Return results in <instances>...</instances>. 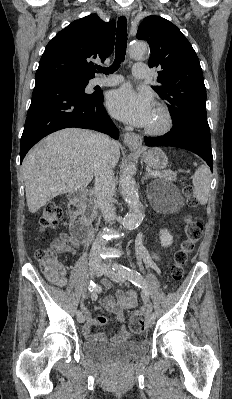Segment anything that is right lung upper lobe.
<instances>
[{"mask_svg":"<svg viewBox=\"0 0 232 399\" xmlns=\"http://www.w3.org/2000/svg\"><path fill=\"white\" fill-rule=\"evenodd\" d=\"M115 21L104 22L97 14L73 21L47 44L35 78L92 79L97 72L91 60L102 62L114 48Z\"/></svg>","mask_w":232,"mask_h":399,"instance_id":"obj_1","label":"right lung upper lobe"}]
</instances>
